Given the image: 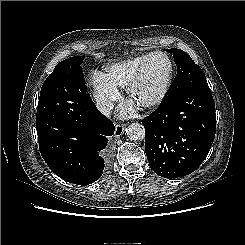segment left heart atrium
Returning a JSON list of instances; mask_svg holds the SVG:
<instances>
[{
	"mask_svg": "<svg viewBox=\"0 0 245 245\" xmlns=\"http://www.w3.org/2000/svg\"><path fill=\"white\" fill-rule=\"evenodd\" d=\"M131 112H132V108L131 107H123L120 110V115L126 116V115L130 114Z\"/></svg>",
	"mask_w": 245,
	"mask_h": 245,
	"instance_id": "obj_1",
	"label": "left heart atrium"
}]
</instances>
